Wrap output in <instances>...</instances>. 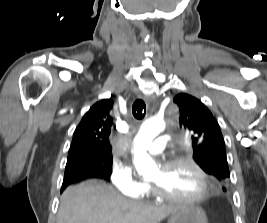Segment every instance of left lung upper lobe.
Here are the masks:
<instances>
[{"mask_svg": "<svg viewBox=\"0 0 267 223\" xmlns=\"http://www.w3.org/2000/svg\"><path fill=\"white\" fill-rule=\"evenodd\" d=\"M174 102L180 110V126L192 133L194 160L206 173L223 184L230 173L218 122L209 109L195 97L181 93L174 98Z\"/></svg>", "mask_w": 267, "mask_h": 223, "instance_id": "left-lung-upper-lobe-1", "label": "left lung upper lobe"}]
</instances>
